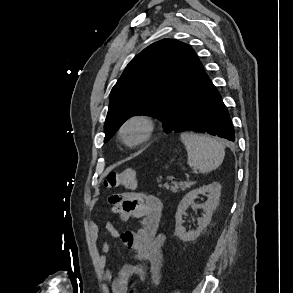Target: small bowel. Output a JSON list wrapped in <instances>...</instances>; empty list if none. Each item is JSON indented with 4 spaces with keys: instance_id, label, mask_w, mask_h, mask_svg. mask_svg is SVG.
<instances>
[{
    "instance_id": "1",
    "label": "small bowel",
    "mask_w": 293,
    "mask_h": 293,
    "mask_svg": "<svg viewBox=\"0 0 293 293\" xmlns=\"http://www.w3.org/2000/svg\"><path fill=\"white\" fill-rule=\"evenodd\" d=\"M109 203L112 212L118 214L123 221L140 219L139 228L136 232L119 233L109 221L100 228L91 220L89 224L93 243L98 244L102 236H120L123 245L134 252L136 261L149 263L148 269L139 265L123 264L115 274L108 271L107 278L111 281L112 293H129V289L136 286L129 281L132 276H136L140 284L150 282L158 285L163 263L162 246L165 241L164 235L159 232L163 209L161 200L144 192L128 191L110 196ZM101 251L104 255L111 253L108 241L102 242Z\"/></svg>"
}]
</instances>
